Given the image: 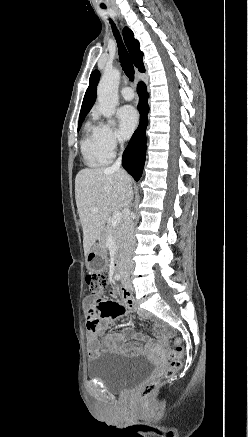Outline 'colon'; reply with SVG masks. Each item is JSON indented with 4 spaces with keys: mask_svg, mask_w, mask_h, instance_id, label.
<instances>
[{
    "mask_svg": "<svg viewBox=\"0 0 248 437\" xmlns=\"http://www.w3.org/2000/svg\"><path fill=\"white\" fill-rule=\"evenodd\" d=\"M110 275L108 272H90L86 276V283L90 294H100L108 285ZM115 312V311H114ZM181 340L176 338L173 342V349L170 351V361L168 366L163 372V375L159 378L153 379L150 382L142 386L139 391V396L142 400L149 399L155 390L160 386L161 382L165 378L172 377L181 367V354H182Z\"/></svg>",
    "mask_w": 248,
    "mask_h": 437,
    "instance_id": "1",
    "label": "colon"
}]
</instances>
